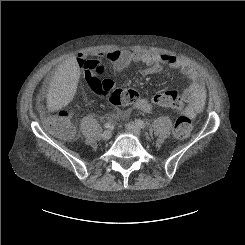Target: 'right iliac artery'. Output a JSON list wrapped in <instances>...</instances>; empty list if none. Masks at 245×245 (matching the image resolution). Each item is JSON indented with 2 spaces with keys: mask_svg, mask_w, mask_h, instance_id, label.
I'll return each instance as SVG.
<instances>
[{
  "mask_svg": "<svg viewBox=\"0 0 245 245\" xmlns=\"http://www.w3.org/2000/svg\"><path fill=\"white\" fill-rule=\"evenodd\" d=\"M105 128L111 129V128H113V125L111 123H106L105 124Z\"/></svg>",
  "mask_w": 245,
  "mask_h": 245,
  "instance_id": "1",
  "label": "right iliac artery"
}]
</instances>
